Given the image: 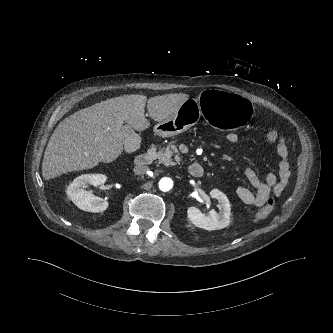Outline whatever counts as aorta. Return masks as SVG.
<instances>
[{
    "instance_id": "aorta-1",
    "label": "aorta",
    "mask_w": 333,
    "mask_h": 333,
    "mask_svg": "<svg viewBox=\"0 0 333 333\" xmlns=\"http://www.w3.org/2000/svg\"><path fill=\"white\" fill-rule=\"evenodd\" d=\"M173 187V180L169 177H163L159 181V189L163 192L171 190Z\"/></svg>"
}]
</instances>
